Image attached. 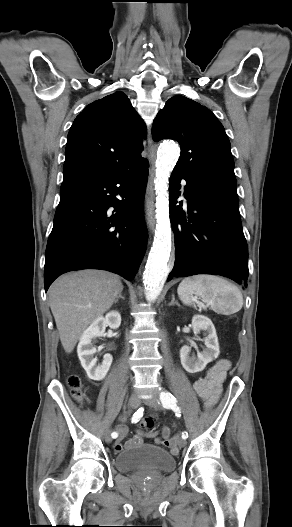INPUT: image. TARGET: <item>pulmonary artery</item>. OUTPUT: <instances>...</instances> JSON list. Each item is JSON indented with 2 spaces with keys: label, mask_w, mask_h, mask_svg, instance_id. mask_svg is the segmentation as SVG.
<instances>
[{
  "label": "pulmonary artery",
  "mask_w": 292,
  "mask_h": 527,
  "mask_svg": "<svg viewBox=\"0 0 292 527\" xmlns=\"http://www.w3.org/2000/svg\"><path fill=\"white\" fill-rule=\"evenodd\" d=\"M182 185H184V182H182ZM182 192H184V189H183V187H182Z\"/></svg>",
  "instance_id": "pulmonary-artery-1"
}]
</instances>
